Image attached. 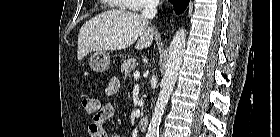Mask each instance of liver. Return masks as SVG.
<instances>
[{
    "mask_svg": "<svg viewBox=\"0 0 280 137\" xmlns=\"http://www.w3.org/2000/svg\"><path fill=\"white\" fill-rule=\"evenodd\" d=\"M154 29L148 19L125 10H109L85 22L78 35V60L89 52L122 50L136 42L135 49L150 47Z\"/></svg>",
    "mask_w": 280,
    "mask_h": 137,
    "instance_id": "6515ba94",
    "label": "liver"
}]
</instances>
